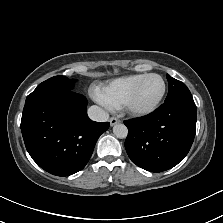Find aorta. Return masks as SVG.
<instances>
[{"label":"aorta","instance_id":"obj_1","mask_svg":"<svg viewBox=\"0 0 223 223\" xmlns=\"http://www.w3.org/2000/svg\"><path fill=\"white\" fill-rule=\"evenodd\" d=\"M113 133L117 138H126L128 134V129L124 124H116L113 127Z\"/></svg>","mask_w":223,"mask_h":223}]
</instances>
